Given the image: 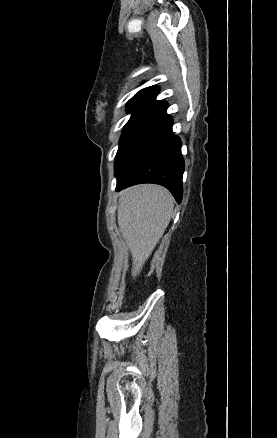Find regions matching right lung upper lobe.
I'll return each instance as SVG.
<instances>
[{"mask_svg": "<svg viewBox=\"0 0 277 438\" xmlns=\"http://www.w3.org/2000/svg\"><path fill=\"white\" fill-rule=\"evenodd\" d=\"M159 88L156 86L147 87L139 91L127 104V112L132 116L146 113L166 111L167 103L165 101H156Z\"/></svg>", "mask_w": 277, "mask_h": 438, "instance_id": "right-lung-upper-lobe-1", "label": "right lung upper lobe"}]
</instances>
